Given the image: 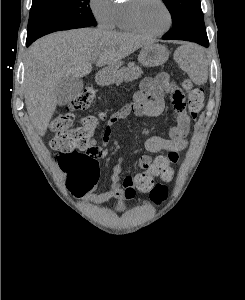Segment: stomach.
Returning <instances> with one entry per match:
<instances>
[{"label":"stomach","mask_w":245,"mask_h":300,"mask_svg":"<svg viewBox=\"0 0 245 300\" xmlns=\"http://www.w3.org/2000/svg\"><path fill=\"white\" fill-rule=\"evenodd\" d=\"M169 57V51L160 44H149L144 46L138 56L140 64L146 67H155L164 64ZM122 62H118L104 70L105 79L114 81L119 73Z\"/></svg>","instance_id":"1"}]
</instances>
